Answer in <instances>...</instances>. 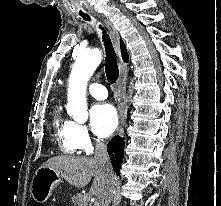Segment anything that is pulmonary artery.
Returning a JSON list of instances; mask_svg holds the SVG:
<instances>
[{
    "label": "pulmonary artery",
    "instance_id": "1",
    "mask_svg": "<svg viewBox=\"0 0 221 206\" xmlns=\"http://www.w3.org/2000/svg\"><path fill=\"white\" fill-rule=\"evenodd\" d=\"M89 93L98 100H104L107 98V89L100 84H91L88 88Z\"/></svg>",
    "mask_w": 221,
    "mask_h": 206
}]
</instances>
